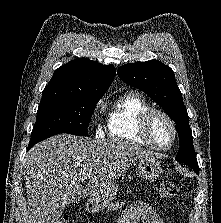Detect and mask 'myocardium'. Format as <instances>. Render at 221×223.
<instances>
[{
  "label": "myocardium",
  "instance_id": "1",
  "mask_svg": "<svg viewBox=\"0 0 221 223\" xmlns=\"http://www.w3.org/2000/svg\"><path fill=\"white\" fill-rule=\"evenodd\" d=\"M157 115L162 116L169 123L172 133H173V139L171 143L167 146H160L156 144L150 135L151 121ZM137 131H138L139 136L145 143H147L151 148L158 151L170 150L176 144L177 139H178V130L173 118L167 112L161 109H157V108H151L142 114Z\"/></svg>",
  "mask_w": 221,
  "mask_h": 223
}]
</instances>
